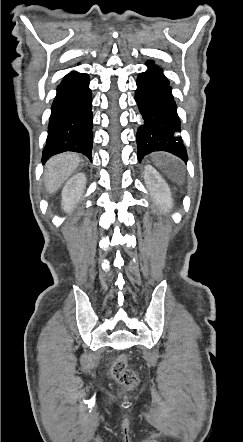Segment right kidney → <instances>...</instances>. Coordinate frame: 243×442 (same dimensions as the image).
Wrapping results in <instances>:
<instances>
[{
  "label": "right kidney",
  "instance_id": "right-kidney-1",
  "mask_svg": "<svg viewBox=\"0 0 243 442\" xmlns=\"http://www.w3.org/2000/svg\"><path fill=\"white\" fill-rule=\"evenodd\" d=\"M86 184V176L84 173L73 175L65 184L62 190V208L69 212L73 210L78 201L81 199Z\"/></svg>",
  "mask_w": 243,
  "mask_h": 442
}]
</instances>
